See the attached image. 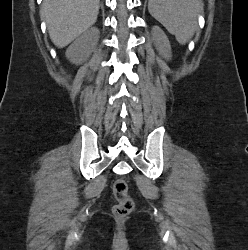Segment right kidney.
<instances>
[{"label": "right kidney", "mask_w": 248, "mask_h": 250, "mask_svg": "<svg viewBox=\"0 0 248 250\" xmlns=\"http://www.w3.org/2000/svg\"><path fill=\"white\" fill-rule=\"evenodd\" d=\"M99 30L87 31L79 36L66 50L70 62L78 65L85 62L95 49Z\"/></svg>", "instance_id": "1"}]
</instances>
